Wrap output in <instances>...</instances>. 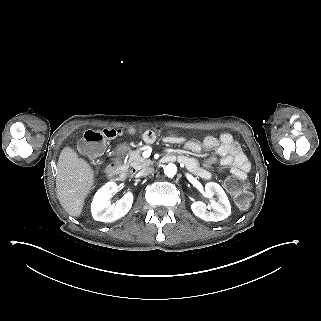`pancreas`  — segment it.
<instances>
[{
  "mask_svg": "<svg viewBox=\"0 0 321 321\" xmlns=\"http://www.w3.org/2000/svg\"><path fill=\"white\" fill-rule=\"evenodd\" d=\"M151 161L141 157V150H135L130 152V157L128 160V165L124 168L127 169L129 167L134 168L136 171L145 168L151 165Z\"/></svg>",
  "mask_w": 321,
  "mask_h": 321,
  "instance_id": "pancreas-1",
  "label": "pancreas"
}]
</instances>
